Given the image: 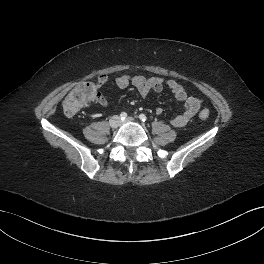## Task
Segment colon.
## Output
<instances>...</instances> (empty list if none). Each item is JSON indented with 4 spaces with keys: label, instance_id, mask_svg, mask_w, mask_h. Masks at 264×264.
<instances>
[{
    "label": "colon",
    "instance_id": "1",
    "mask_svg": "<svg viewBox=\"0 0 264 264\" xmlns=\"http://www.w3.org/2000/svg\"><path fill=\"white\" fill-rule=\"evenodd\" d=\"M97 86L92 82H82L77 85L65 98L63 111L68 116H73L86 104L95 99ZM205 120L209 117V111L204 109L199 114Z\"/></svg>",
    "mask_w": 264,
    "mask_h": 264
}]
</instances>
